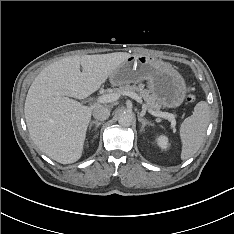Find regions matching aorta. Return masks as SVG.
<instances>
[{
	"label": "aorta",
	"mask_w": 234,
	"mask_h": 234,
	"mask_svg": "<svg viewBox=\"0 0 234 234\" xmlns=\"http://www.w3.org/2000/svg\"><path fill=\"white\" fill-rule=\"evenodd\" d=\"M132 122H133V117L131 114L123 112L119 115L118 123L121 126L128 127L132 124Z\"/></svg>",
	"instance_id": "1"
}]
</instances>
